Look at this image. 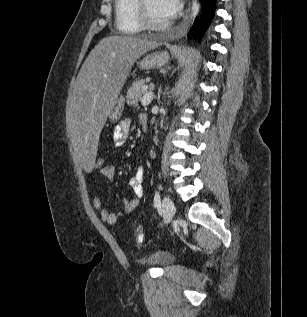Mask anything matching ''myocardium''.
<instances>
[{"instance_id": "f54148a6", "label": "myocardium", "mask_w": 307, "mask_h": 317, "mask_svg": "<svg viewBox=\"0 0 307 317\" xmlns=\"http://www.w3.org/2000/svg\"><path fill=\"white\" fill-rule=\"evenodd\" d=\"M137 10L142 26L148 30L160 31L170 25L169 20L164 23H158L151 18L146 6V0H137Z\"/></svg>"}]
</instances>
